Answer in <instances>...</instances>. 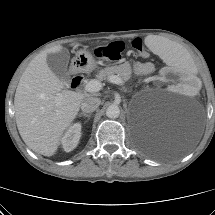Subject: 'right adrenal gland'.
I'll return each mask as SVG.
<instances>
[{
    "mask_svg": "<svg viewBox=\"0 0 215 215\" xmlns=\"http://www.w3.org/2000/svg\"><path fill=\"white\" fill-rule=\"evenodd\" d=\"M78 116H79V117L84 116V117L90 118V117H91V114H87V113H79V115H78Z\"/></svg>",
    "mask_w": 215,
    "mask_h": 215,
    "instance_id": "right-adrenal-gland-1",
    "label": "right adrenal gland"
}]
</instances>
